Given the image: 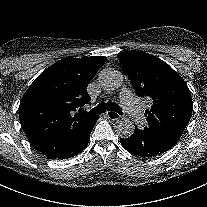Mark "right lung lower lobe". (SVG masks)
Masks as SVG:
<instances>
[{
    "label": "right lung lower lobe",
    "instance_id": "1",
    "mask_svg": "<svg viewBox=\"0 0 207 207\" xmlns=\"http://www.w3.org/2000/svg\"><path fill=\"white\" fill-rule=\"evenodd\" d=\"M98 116H94L83 127L74 131L65 141L60 143L56 150L45 154L51 159H65L80 153L89 142V135L98 120Z\"/></svg>",
    "mask_w": 207,
    "mask_h": 207
}]
</instances>
